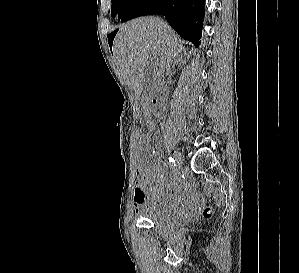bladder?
<instances>
[{
  "label": "bladder",
  "mask_w": 299,
  "mask_h": 273,
  "mask_svg": "<svg viewBox=\"0 0 299 273\" xmlns=\"http://www.w3.org/2000/svg\"><path fill=\"white\" fill-rule=\"evenodd\" d=\"M140 216L161 228L174 227L182 220V217L177 214H161L154 211H144Z\"/></svg>",
  "instance_id": "obj_1"
}]
</instances>
